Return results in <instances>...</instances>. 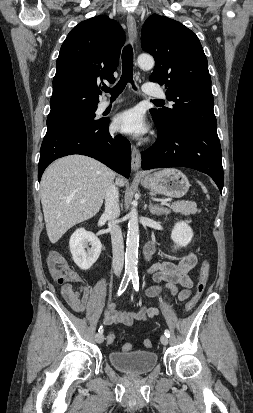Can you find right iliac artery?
I'll return each instance as SVG.
<instances>
[{
    "instance_id": "obj_1",
    "label": "right iliac artery",
    "mask_w": 253,
    "mask_h": 413,
    "mask_svg": "<svg viewBox=\"0 0 253 413\" xmlns=\"http://www.w3.org/2000/svg\"><path fill=\"white\" fill-rule=\"evenodd\" d=\"M131 276L132 275L130 273H125L124 274L123 279H122L121 284H120V287H119L118 292H117L118 295H121L126 290L127 285H128V283L131 279ZM98 332L103 333V327L102 326H100Z\"/></svg>"
}]
</instances>
